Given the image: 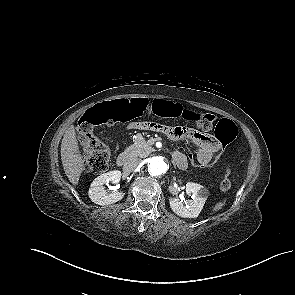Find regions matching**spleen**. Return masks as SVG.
I'll list each match as a JSON object with an SVG mask.
<instances>
[{
    "instance_id": "obj_1",
    "label": "spleen",
    "mask_w": 295,
    "mask_h": 295,
    "mask_svg": "<svg viewBox=\"0 0 295 295\" xmlns=\"http://www.w3.org/2000/svg\"><path fill=\"white\" fill-rule=\"evenodd\" d=\"M225 205V202H218L212 209L213 212H217Z\"/></svg>"
}]
</instances>
